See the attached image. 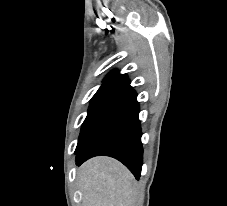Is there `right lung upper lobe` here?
<instances>
[{"label":"right lung upper lobe","mask_w":227,"mask_h":206,"mask_svg":"<svg viewBox=\"0 0 227 206\" xmlns=\"http://www.w3.org/2000/svg\"><path fill=\"white\" fill-rule=\"evenodd\" d=\"M104 83H126L129 84L130 81L125 74H120L117 70L112 71L104 79Z\"/></svg>","instance_id":"cb5924a9"}]
</instances>
